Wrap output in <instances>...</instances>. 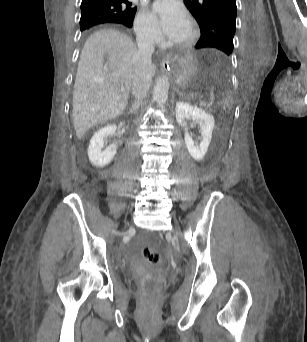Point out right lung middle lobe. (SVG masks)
I'll return each instance as SVG.
<instances>
[{
    "instance_id": "1",
    "label": "right lung middle lobe",
    "mask_w": 307,
    "mask_h": 342,
    "mask_svg": "<svg viewBox=\"0 0 307 342\" xmlns=\"http://www.w3.org/2000/svg\"><path fill=\"white\" fill-rule=\"evenodd\" d=\"M119 16L117 12L108 9L81 10L80 29L82 31L97 24L116 20Z\"/></svg>"
}]
</instances>
